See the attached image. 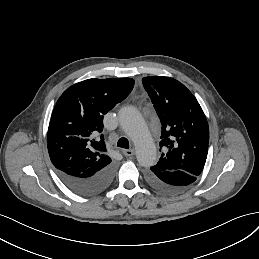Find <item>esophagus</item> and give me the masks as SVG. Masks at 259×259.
I'll return each instance as SVG.
<instances>
[{"label": "esophagus", "instance_id": "34e87169", "mask_svg": "<svg viewBox=\"0 0 259 259\" xmlns=\"http://www.w3.org/2000/svg\"><path fill=\"white\" fill-rule=\"evenodd\" d=\"M122 153L124 156L129 157V156H134L135 155V150L134 149H128V150H122Z\"/></svg>", "mask_w": 259, "mask_h": 259}]
</instances>
